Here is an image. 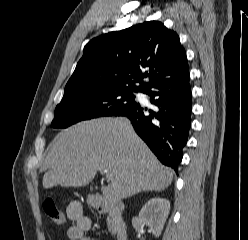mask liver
Here are the masks:
<instances>
[{
	"label": "liver",
	"mask_w": 248,
	"mask_h": 240,
	"mask_svg": "<svg viewBox=\"0 0 248 240\" xmlns=\"http://www.w3.org/2000/svg\"><path fill=\"white\" fill-rule=\"evenodd\" d=\"M105 169L111 183L102 185L101 191L108 202L141 191H162L174 174L157 160L128 119L107 117L77 123L55 137L43 166V187L85 186Z\"/></svg>",
	"instance_id": "6515ba94"
}]
</instances>
